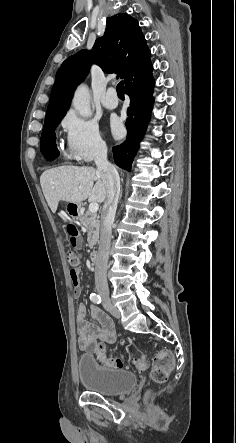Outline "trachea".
I'll return each instance as SVG.
<instances>
[{
  "instance_id": "1",
  "label": "trachea",
  "mask_w": 236,
  "mask_h": 443,
  "mask_svg": "<svg viewBox=\"0 0 236 443\" xmlns=\"http://www.w3.org/2000/svg\"><path fill=\"white\" fill-rule=\"evenodd\" d=\"M116 91L119 97H124V82L121 81L116 87Z\"/></svg>"
}]
</instances>
